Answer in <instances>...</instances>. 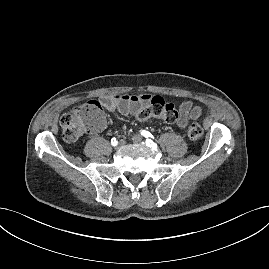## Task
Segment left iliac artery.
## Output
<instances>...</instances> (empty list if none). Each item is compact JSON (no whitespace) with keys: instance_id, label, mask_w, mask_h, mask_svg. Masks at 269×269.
I'll return each mask as SVG.
<instances>
[{"instance_id":"1","label":"left iliac artery","mask_w":269,"mask_h":269,"mask_svg":"<svg viewBox=\"0 0 269 269\" xmlns=\"http://www.w3.org/2000/svg\"><path fill=\"white\" fill-rule=\"evenodd\" d=\"M141 135L142 136H144L145 138H154V136L150 133V132H148V131H146V130H141Z\"/></svg>"}]
</instances>
